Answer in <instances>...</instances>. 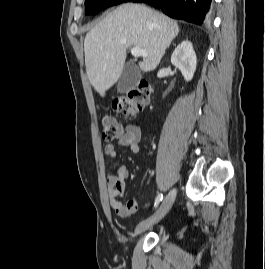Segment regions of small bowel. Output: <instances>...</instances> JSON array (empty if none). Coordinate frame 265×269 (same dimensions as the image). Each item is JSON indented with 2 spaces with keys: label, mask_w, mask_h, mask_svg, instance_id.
I'll use <instances>...</instances> for the list:
<instances>
[{
  "label": "small bowel",
  "mask_w": 265,
  "mask_h": 269,
  "mask_svg": "<svg viewBox=\"0 0 265 269\" xmlns=\"http://www.w3.org/2000/svg\"><path fill=\"white\" fill-rule=\"evenodd\" d=\"M141 135V125H129L125 133L118 139L117 143H108L105 145L104 152L110 158H116L118 147H125L132 153H138L140 150ZM129 175V169L122 165L118 168L116 173H109L106 179L110 205L121 217L131 215L136 212L138 208L137 201L134 199H130L126 203L121 201V197L126 188V179Z\"/></svg>",
  "instance_id": "1"
}]
</instances>
